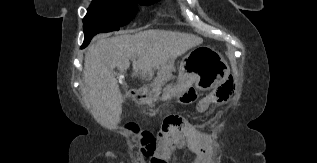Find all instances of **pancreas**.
I'll return each mask as SVG.
<instances>
[{
    "label": "pancreas",
    "instance_id": "1",
    "mask_svg": "<svg viewBox=\"0 0 317 163\" xmlns=\"http://www.w3.org/2000/svg\"><path fill=\"white\" fill-rule=\"evenodd\" d=\"M174 63L169 62L161 66V68L157 72V77L154 79L153 83L151 84L152 90L151 93H156L161 90V86L171 80L173 78L172 72L174 71Z\"/></svg>",
    "mask_w": 317,
    "mask_h": 163
}]
</instances>
